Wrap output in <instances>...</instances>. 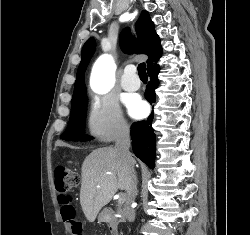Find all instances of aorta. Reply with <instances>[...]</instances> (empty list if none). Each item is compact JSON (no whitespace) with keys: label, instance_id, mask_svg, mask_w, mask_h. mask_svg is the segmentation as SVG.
<instances>
[{"label":"aorta","instance_id":"aorta-1","mask_svg":"<svg viewBox=\"0 0 250 235\" xmlns=\"http://www.w3.org/2000/svg\"><path fill=\"white\" fill-rule=\"evenodd\" d=\"M115 67L111 58L107 55L102 56L96 63L93 74L92 84L98 91H105L114 81Z\"/></svg>","mask_w":250,"mask_h":235}]
</instances>
